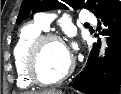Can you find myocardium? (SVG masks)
Instances as JSON below:
<instances>
[{
  "mask_svg": "<svg viewBox=\"0 0 121 94\" xmlns=\"http://www.w3.org/2000/svg\"><path fill=\"white\" fill-rule=\"evenodd\" d=\"M48 41H57L64 45V42L60 36L54 33H43L37 36L28 46L26 54H25V71L29 78V80L38 86L42 87H51L62 83L66 80L73 72L75 67V61L73 56L71 55L70 63L65 71L54 80H44L41 78L38 70H37V58L38 53L41 47Z\"/></svg>",
  "mask_w": 121,
  "mask_h": 94,
  "instance_id": "myocardium-1",
  "label": "myocardium"
}]
</instances>
